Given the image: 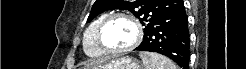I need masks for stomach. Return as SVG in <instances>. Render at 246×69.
Instances as JSON below:
<instances>
[{"label":"stomach","instance_id":"obj_1","mask_svg":"<svg viewBox=\"0 0 246 69\" xmlns=\"http://www.w3.org/2000/svg\"><path fill=\"white\" fill-rule=\"evenodd\" d=\"M82 69H141L140 64L130 57H120L105 63H94Z\"/></svg>","mask_w":246,"mask_h":69}]
</instances>
